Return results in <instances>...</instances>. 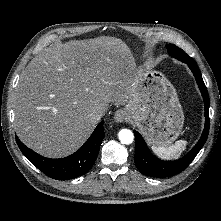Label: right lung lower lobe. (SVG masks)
Instances as JSON below:
<instances>
[{
	"instance_id": "obj_1",
	"label": "right lung lower lobe",
	"mask_w": 221,
	"mask_h": 221,
	"mask_svg": "<svg viewBox=\"0 0 221 221\" xmlns=\"http://www.w3.org/2000/svg\"><path fill=\"white\" fill-rule=\"evenodd\" d=\"M103 121L98 124L84 145L74 154L60 159L43 157L27 148L16 136L22 153L47 176L56 180H67L86 174L94 164L104 138Z\"/></svg>"
}]
</instances>
